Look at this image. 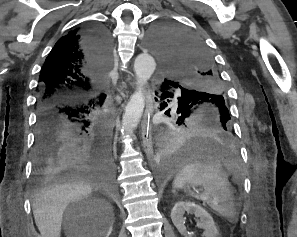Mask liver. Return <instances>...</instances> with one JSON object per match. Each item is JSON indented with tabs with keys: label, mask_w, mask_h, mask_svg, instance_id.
<instances>
[{
	"label": "liver",
	"mask_w": 297,
	"mask_h": 237,
	"mask_svg": "<svg viewBox=\"0 0 297 237\" xmlns=\"http://www.w3.org/2000/svg\"><path fill=\"white\" fill-rule=\"evenodd\" d=\"M89 179L71 176L39 190L33 198V215L41 237H60L63 213L72 201L92 193Z\"/></svg>",
	"instance_id": "6515ba94"
}]
</instances>
